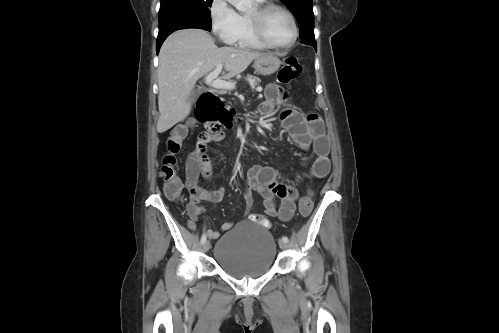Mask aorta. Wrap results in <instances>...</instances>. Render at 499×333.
Instances as JSON below:
<instances>
[{"mask_svg":"<svg viewBox=\"0 0 499 333\" xmlns=\"http://www.w3.org/2000/svg\"><path fill=\"white\" fill-rule=\"evenodd\" d=\"M231 5H233L238 11L246 12L252 6V0H227Z\"/></svg>","mask_w":499,"mask_h":333,"instance_id":"aorta-1","label":"aorta"}]
</instances>
